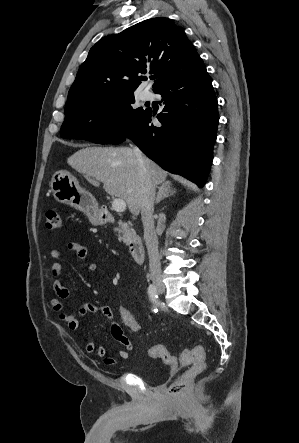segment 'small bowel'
I'll use <instances>...</instances> for the list:
<instances>
[{
  "instance_id": "c3829d8e",
  "label": "small bowel",
  "mask_w": 299,
  "mask_h": 443,
  "mask_svg": "<svg viewBox=\"0 0 299 443\" xmlns=\"http://www.w3.org/2000/svg\"><path fill=\"white\" fill-rule=\"evenodd\" d=\"M67 246L68 249L73 251L81 261L85 262L86 268L89 272H95L97 270V264L89 260L88 250L85 246L75 241L69 242ZM61 254V249L58 247L53 248L50 251V257L54 260L51 267V272L55 277L53 281V289L56 293V297L50 300L51 307L59 314V318L67 324L68 328L74 331L80 328V316L87 313L100 312L110 323V333L112 337L122 346H124L125 349H120L115 353V355L108 356L106 354V349L103 346H96L93 341L84 339V350L87 353H92L97 357L102 358L104 363L107 365H115L125 361L128 358V352L132 350L133 345L131 340L125 335L123 329L116 322L114 312L110 307L86 303L81 307L79 313H67L64 311L63 301L72 299L73 296L62 282L63 268L59 263Z\"/></svg>"
}]
</instances>
